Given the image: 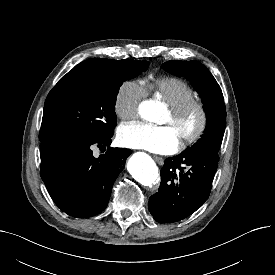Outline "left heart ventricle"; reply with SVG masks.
<instances>
[{
  "label": "left heart ventricle",
  "instance_id": "left-heart-ventricle-1",
  "mask_svg": "<svg viewBox=\"0 0 275 275\" xmlns=\"http://www.w3.org/2000/svg\"><path fill=\"white\" fill-rule=\"evenodd\" d=\"M199 122V115L196 111L190 112L181 120L174 122L168 112L162 121L164 125L170 126L175 132L178 140L180 141L184 136L190 134L197 127Z\"/></svg>",
  "mask_w": 275,
  "mask_h": 275
}]
</instances>
